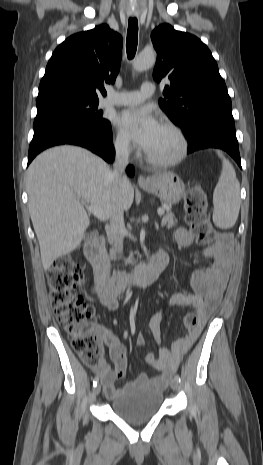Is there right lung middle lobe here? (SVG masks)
Masks as SVG:
<instances>
[{
	"label": "right lung middle lobe",
	"instance_id": "obj_1",
	"mask_svg": "<svg viewBox=\"0 0 263 465\" xmlns=\"http://www.w3.org/2000/svg\"><path fill=\"white\" fill-rule=\"evenodd\" d=\"M98 99L77 96H57L37 101V115L34 129L55 122H73L105 130L111 127L102 117L103 112L96 110Z\"/></svg>",
	"mask_w": 263,
	"mask_h": 465
}]
</instances>
